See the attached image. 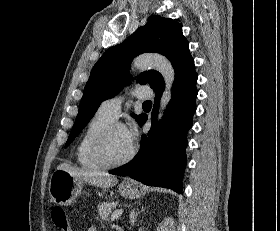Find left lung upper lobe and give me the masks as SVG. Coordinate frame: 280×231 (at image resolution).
Returning a JSON list of instances; mask_svg holds the SVG:
<instances>
[{
  "label": "left lung upper lobe",
  "mask_w": 280,
  "mask_h": 231,
  "mask_svg": "<svg viewBox=\"0 0 280 231\" xmlns=\"http://www.w3.org/2000/svg\"><path fill=\"white\" fill-rule=\"evenodd\" d=\"M153 52L166 56L175 70V81L187 69L194 67L189 43L179 23L172 19L152 15L146 25L138 28L124 42L109 48L94 65L84 88L79 112L70 132L67 147L94 116L101 102L117 95L130 81L129 66L139 54ZM140 84L149 83L157 91L163 88L162 75L154 70L138 76ZM134 118H138L134 113Z\"/></svg>",
  "instance_id": "left-lung-upper-lobe-1"
}]
</instances>
